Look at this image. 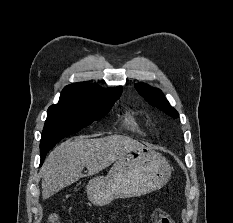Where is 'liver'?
<instances>
[{
    "mask_svg": "<svg viewBox=\"0 0 233 223\" xmlns=\"http://www.w3.org/2000/svg\"><path fill=\"white\" fill-rule=\"evenodd\" d=\"M137 145H140L139 141L127 135H107L96 139L78 135L72 141H63L50 151L40 169L43 199L84 177V167L88 169L87 175L99 173Z\"/></svg>",
    "mask_w": 233,
    "mask_h": 223,
    "instance_id": "1",
    "label": "liver"
}]
</instances>
